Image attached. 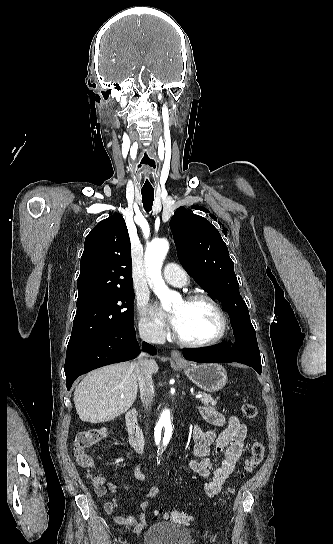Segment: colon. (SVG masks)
Segmentation results:
<instances>
[{"mask_svg": "<svg viewBox=\"0 0 333 544\" xmlns=\"http://www.w3.org/2000/svg\"><path fill=\"white\" fill-rule=\"evenodd\" d=\"M241 409L243 414L249 419H254L257 416V407L253 404L244 403ZM108 433V430L105 428H92L83 430L77 434L75 438V455L77 463L80 466L87 469H92L94 467V460L87 450L106 438ZM264 452L265 449L261 442H254L251 445L249 456L243 465L241 477L253 472L261 464L264 458ZM97 478L98 477H95L93 480L95 481ZM229 492L232 493L233 490L230 489ZM160 515H163L165 519L171 522L183 525H189L192 522V516L190 514L179 510H168L163 513L156 511L154 513L155 518Z\"/></svg>", "mask_w": 333, "mask_h": 544, "instance_id": "colon-1", "label": "colon"}]
</instances>
